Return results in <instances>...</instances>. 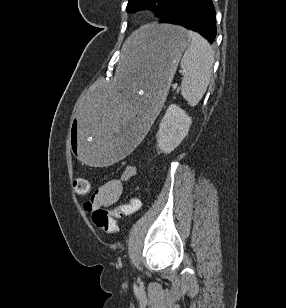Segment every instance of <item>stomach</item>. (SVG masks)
Segmentation results:
<instances>
[{
	"mask_svg": "<svg viewBox=\"0 0 286 308\" xmlns=\"http://www.w3.org/2000/svg\"><path fill=\"white\" fill-rule=\"evenodd\" d=\"M122 44L113 80L96 86L80 100L69 142L73 159L84 168L119 164L136 144H143L146 125H153L154 107L162 106L179 60L191 39L183 27L148 24Z\"/></svg>",
	"mask_w": 286,
	"mask_h": 308,
	"instance_id": "stomach-1",
	"label": "stomach"
}]
</instances>
